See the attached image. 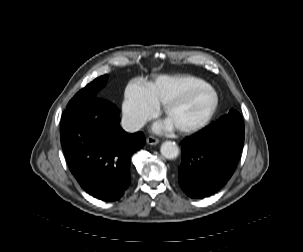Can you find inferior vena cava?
<instances>
[{"mask_svg": "<svg viewBox=\"0 0 303 252\" xmlns=\"http://www.w3.org/2000/svg\"><path fill=\"white\" fill-rule=\"evenodd\" d=\"M121 125L126 132L133 133L139 131L144 126V122L130 116H123Z\"/></svg>", "mask_w": 303, "mask_h": 252, "instance_id": "inferior-vena-cava-1", "label": "inferior vena cava"}]
</instances>
